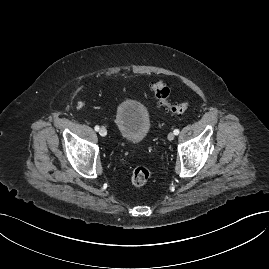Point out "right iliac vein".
<instances>
[{
  "label": "right iliac vein",
  "instance_id": "63e3f726",
  "mask_svg": "<svg viewBox=\"0 0 269 269\" xmlns=\"http://www.w3.org/2000/svg\"><path fill=\"white\" fill-rule=\"evenodd\" d=\"M99 134L103 137H105L107 135V130L105 127H101L99 130Z\"/></svg>",
  "mask_w": 269,
  "mask_h": 269
}]
</instances>
